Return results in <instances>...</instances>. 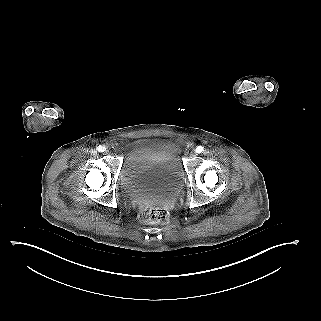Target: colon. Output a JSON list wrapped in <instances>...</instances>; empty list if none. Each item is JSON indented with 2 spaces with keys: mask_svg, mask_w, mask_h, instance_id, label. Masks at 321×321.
Returning a JSON list of instances; mask_svg holds the SVG:
<instances>
[{
  "mask_svg": "<svg viewBox=\"0 0 321 321\" xmlns=\"http://www.w3.org/2000/svg\"><path fill=\"white\" fill-rule=\"evenodd\" d=\"M139 217L144 223L158 224L167 221L169 214L164 207H148L140 212Z\"/></svg>",
  "mask_w": 321,
  "mask_h": 321,
  "instance_id": "1",
  "label": "colon"
}]
</instances>
